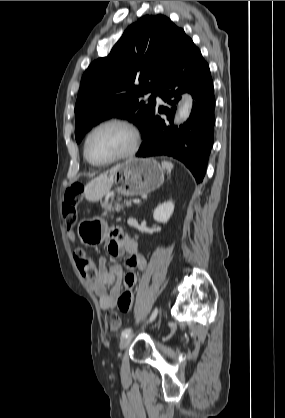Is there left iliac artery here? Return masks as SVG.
<instances>
[{
	"label": "left iliac artery",
	"instance_id": "1",
	"mask_svg": "<svg viewBox=\"0 0 285 418\" xmlns=\"http://www.w3.org/2000/svg\"><path fill=\"white\" fill-rule=\"evenodd\" d=\"M157 313H158V308H155L151 317H150V321L155 319V317L157 316ZM131 332H132V328H126L122 331L121 337L124 338V337L128 336L129 334H131Z\"/></svg>",
	"mask_w": 285,
	"mask_h": 418
}]
</instances>
